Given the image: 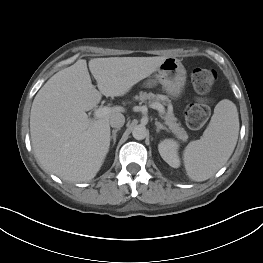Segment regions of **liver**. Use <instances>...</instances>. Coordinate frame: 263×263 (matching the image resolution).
<instances>
[{"label": "liver", "instance_id": "1", "mask_svg": "<svg viewBox=\"0 0 263 263\" xmlns=\"http://www.w3.org/2000/svg\"><path fill=\"white\" fill-rule=\"evenodd\" d=\"M166 58H93L88 65L99 90L85 59L54 74L35 96L30 113L31 141L42 168L69 182L92 180L109 151L110 117L124 108L115 106L98 119L88 118L86 112L102 95H125Z\"/></svg>", "mask_w": 263, "mask_h": 263}]
</instances>
